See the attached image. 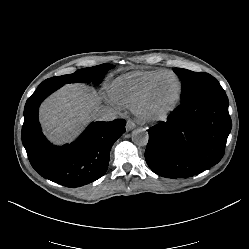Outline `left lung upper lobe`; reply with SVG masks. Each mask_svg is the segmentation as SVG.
<instances>
[{"instance_id":"left-lung-upper-lobe-1","label":"left lung upper lobe","mask_w":249,"mask_h":249,"mask_svg":"<svg viewBox=\"0 0 249 249\" xmlns=\"http://www.w3.org/2000/svg\"><path fill=\"white\" fill-rule=\"evenodd\" d=\"M173 70L182 81L181 102L203 92L223 89L219 82L208 73H198L182 68Z\"/></svg>"}]
</instances>
